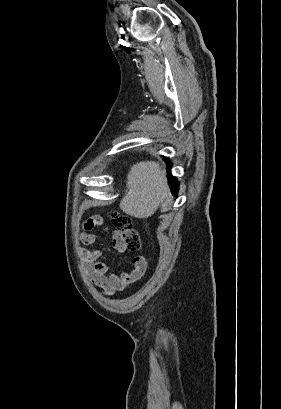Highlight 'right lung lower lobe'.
<instances>
[{"label": "right lung lower lobe", "instance_id": "98d812e1", "mask_svg": "<svg viewBox=\"0 0 281 409\" xmlns=\"http://www.w3.org/2000/svg\"><path fill=\"white\" fill-rule=\"evenodd\" d=\"M171 166V164H169ZM170 187L172 188V193L175 195L178 190V182L174 177H170Z\"/></svg>", "mask_w": 281, "mask_h": 409}]
</instances>
